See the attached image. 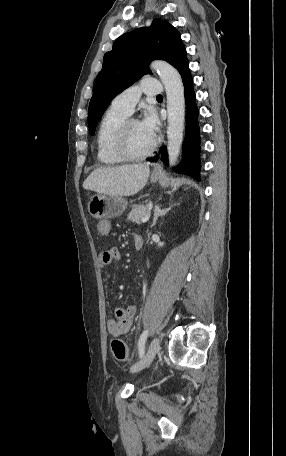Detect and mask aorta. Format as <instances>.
<instances>
[{"label":"aorta","mask_w":286,"mask_h":456,"mask_svg":"<svg viewBox=\"0 0 286 456\" xmlns=\"http://www.w3.org/2000/svg\"><path fill=\"white\" fill-rule=\"evenodd\" d=\"M165 87L167 97V149L170 165H174L180 154L185 123V96L182 78L169 63L157 60L151 63Z\"/></svg>","instance_id":"1"}]
</instances>
